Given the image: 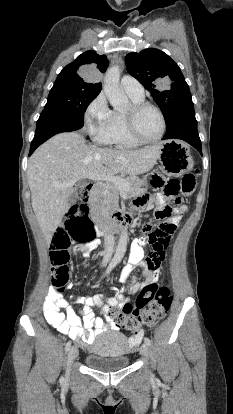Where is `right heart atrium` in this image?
<instances>
[{"label":"right heart atrium","instance_id":"right-heart-atrium-1","mask_svg":"<svg viewBox=\"0 0 233 414\" xmlns=\"http://www.w3.org/2000/svg\"><path fill=\"white\" fill-rule=\"evenodd\" d=\"M111 110L108 107L106 97L100 93L90 102L84 112V122L89 134L98 142H106L107 125Z\"/></svg>","mask_w":233,"mask_h":414}]
</instances>
